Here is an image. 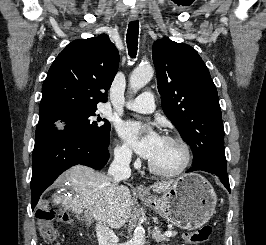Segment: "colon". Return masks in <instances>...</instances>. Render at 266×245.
<instances>
[{"label": "colon", "mask_w": 266, "mask_h": 245, "mask_svg": "<svg viewBox=\"0 0 266 245\" xmlns=\"http://www.w3.org/2000/svg\"><path fill=\"white\" fill-rule=\"evenodd\" d=\"M55 210L52 207L39 208L36 211L37 226L44 245H60L57 230L54 226ZM212 233V227L208 224L185 234V237L194 245H200L207 241Z\"/></svg>", "instance_id": "1"}]
</instances>
